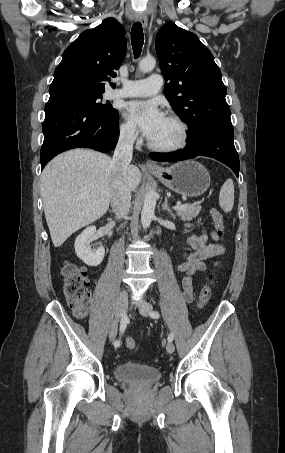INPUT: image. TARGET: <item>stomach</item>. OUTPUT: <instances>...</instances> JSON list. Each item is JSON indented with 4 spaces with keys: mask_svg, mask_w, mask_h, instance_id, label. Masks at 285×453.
Wrapping results in <instances>:
<instances>
[{
    "mask_svg": "<svg viewBox=\"0 0 285 453\" xmlns=\"http://www.w3.org/2000/svg\"><path fill=\"white\" fill-rule=\"evenodd\" d=\"M151 173L167 188L184 197L200 196L210 186L208 170L194 160L178 162L167 168L152 170Z\"/></svg>",
    "mask_w": 285,
    "mask_h": 453,
    "instance_id": "1",
    "label": "stomach"
}]
</instances>
